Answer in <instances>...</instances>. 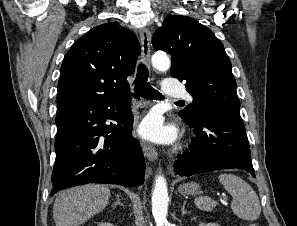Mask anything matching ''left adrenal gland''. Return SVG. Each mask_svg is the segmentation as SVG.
<instances>
[{
	"instance_id": "a2214340",
	"label": "left adrenal gland",
	"mask_w": 297,
	"mask_h": 226,
	"mask_svg": "<svg viewBox=\"0 0 297 226\" xmlns=\"http://www.w3.org/2000/svg\"><path fill=\"white\" fill-rule=\"evenodd\" d=\"M185 205H186V201L183 202L182 208H181V213L182 215H185L188 213V211L185 210Z\"/></svg>"
}]
</instances>
